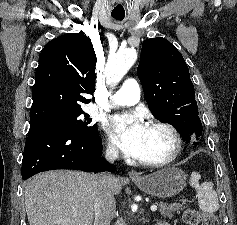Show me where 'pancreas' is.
<instances>
[{
  "instance_id": "obj_1",
  "label": "pancreas",
  "mask_w": 237,
  "mask_h": 225,
  "mask_svg": "<svg viewBox=\"0 0 237 225\" xmlns=\"http://www.w3.org/2000/svg\"><path fill=\"white\" fill-rule=\"evenodd\" d=\"M159 212L163 217H168V218H172L173 217V213L177 212L179 213L181 210H183L182 205L180 204H167L164 202L159 203Z\"/></svg>"
}]
</instances>
